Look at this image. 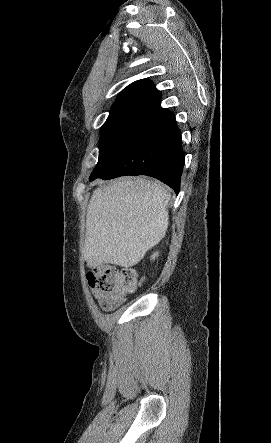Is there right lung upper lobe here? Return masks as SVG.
I'll return each instance as SVG.
<instances>
[{
  "label": "right lung upper lobe",
  "instance_id": "cb5924a9",
  "mask_svg": "<svg viewBox=\"0 0 271 443\" xmlns=\"http://www.w3.org/2000/svg\"><path fill=\"white\" fill-rule=\"evenodd\" d=\"M160 94L154 84L146 79L138 80L127 86L117 97L114 104L119 103H149L160 104Z\"/></svg>",
  "mask_w": 271,
  "mask_h": 443
}]
</instances>
